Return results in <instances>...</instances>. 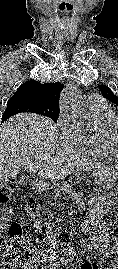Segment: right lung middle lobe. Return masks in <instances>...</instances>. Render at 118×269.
I'll return each mask as SVG.
<instances>
[{
  "mask_svg": "<svg viewBox=\"0 0 118 269\" xmlns=\"http://www.w3.org/2000/svg\"><path fill=\"white\" fill-rule=\"evenodd\" d=\"M21 112H31L51 118L57 122L59 106H45L25 96H12L7 103V108L2 116V121Z\"/></svg>",
  "mask_w": 118,
  "mask_h": 269,
  "instance_id": "1",
  "label": "right lung middle lobe"
}]
</instances>
